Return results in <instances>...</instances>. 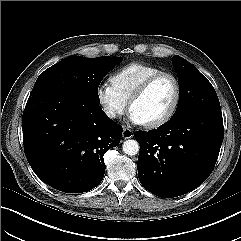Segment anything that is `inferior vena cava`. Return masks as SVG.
<instances>
[{"label": "inferior vena cava", "mask_w": 241, "mask_h": 241, "mask_svg": "<svg viewBox=\"0 0 241 241\" xmlns=\"http://www.w3.org/2000/svg\"><path fill=\"white\" fill-rule=\"evenodd\" d=\"M105 113L110 118H115L116 117V111L114 109H112V108H107Z\"/></svg>", "instance_id": "602c4592"}]
</instances>
